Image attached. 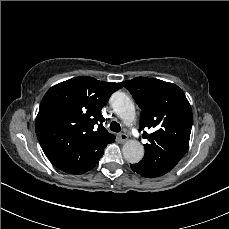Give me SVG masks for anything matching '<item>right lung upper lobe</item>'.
Instances as JSON below:
<instances>
[{"instance_id":"cb5924a9","label":"right lung upper lobe","mask_w":229,"mask_h":229,"mask_svg":"<svg viewBox=\"0 0 229 229\" xmlns=\"http://www.w3.org/2000/svg\"><path fill=\"white\" fill-rule=\"evenodd\" d=\"M122 86L76 77L51 87L36 118V135L51 163L71 174H81L115 136L104 128L101 109Z\"/></svg>"}]
</instances>
